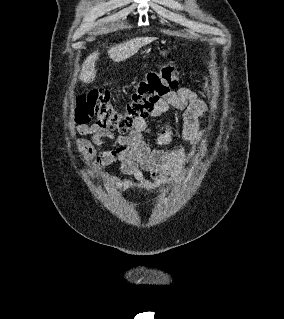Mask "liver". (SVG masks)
<instances>
[{
  "instance_id": "obj_1",
  "label": "liver",
  "mask_w": 284,
  "mask_h": 319,
  "mask_svg": "<svg viewBox=\"0 0 284 319\" xmlns=\"http://www.w3.org/2000/svg\"><path fill=\"white\" fill-rule=\"evenodd\" d=\"M156 40L154 37H136L126 42L115 44L108 50V56L114 62L124 61L138 52V50ZM99 53L97 51L90 54L84 61L79 79L85 83H91L96 77V61Z\"/></svg>"
}]
</instances>
